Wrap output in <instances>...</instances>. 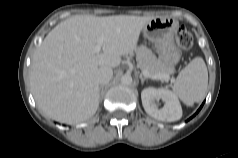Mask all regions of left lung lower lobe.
<instances>
[{
  "mask_svg": "<svg viewBox=\"0 0 238 158\" xmlns=\"http://www.w3.org/2000/svg\"><path fill=\"white\" fill-rule=\"evenodd\" d=\"M203 104L201 105V107L199 108V110L197 111V113L200 111V109L202 108Z\"/></svg>",
  "mask_w": 238,
  "mask_h": 158,
  "instance_id": "0a47b994",
  "label": "left lung lower lobe"
}]
</instances>
